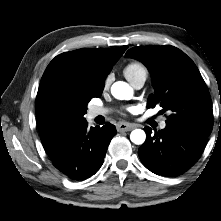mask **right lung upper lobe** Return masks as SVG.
<instances>
[{
	"instance_id": "cb5924a9",
	"label": "right lung upper lobe",
	"mask_w": 221,
	"mask_h": 221,
	"mask_svg": "<svg viewBox=\"0 0 221 221\" xmlns=\"http://www.w3.org/2000/svg\"><path fill=\"white\" fill-rule=\"evenodd\" d=\"M127 48V46L113 49L83 48L62 53L49 63L42 76L36 97L38 129L42 144L48 155L70 133L58 131L46 121L39 105V97L43 90L52 82L67 78L77 71H84L88 74L89 86L92 89L102 88L112 66Z\"/></svg>"
}]
</instances>
